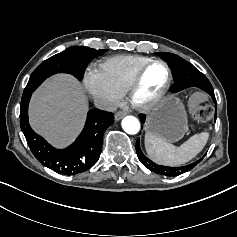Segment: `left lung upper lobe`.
<instances>
[{"mask_svg":"<svg viewBox=\"0 0 237 237\" xmlns=\"http://www.w3.org/2000/svg\"><path fill=\"white\" fill-rule=\"evenodd\" d=\"M156 54L162 57L173 70V76L175 81V84L171 88V91L173 93H177L189 87H197L204 90L205 92L213 89L211 83L206 78V76L199 70H197L192 64L185 61L181 57L167 52H158ZM140 119L144 123L145 116H140ZM136 152L140 162L146 168L151 171H154L157 174L166 176H178L180 174H183L191 170L202 160L201 158L199 161L183 167H167L157 165L150 159L145 157V155L142 153L139 146V140L136 141Z\"/></svg>","mask_w":237,"mask_h":237,"instance_id":"5c2ea615","label":"left lung upper lobe"}]
</instances>
